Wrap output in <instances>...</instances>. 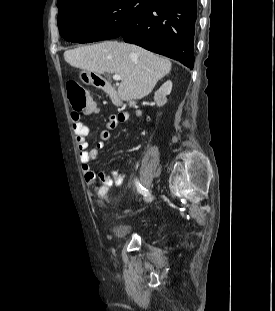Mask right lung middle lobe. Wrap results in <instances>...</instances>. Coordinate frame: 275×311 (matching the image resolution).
<instances>
[{
	"label": "right lung middle lobe",
	"instance_id": "obj_1",
	"mask_svg": "<svg viewBox=\"0 0 275 311\" xmlns=\"http://www.w3.org/2000/svg\"><path fill=\"white\" fill-rule=\"evenodd\" d=\"M158 0H71L58 5L60 35L88 43L118 37L141 12Z\"/></svg>",
	"mask_w": 275,
	"mask_h": 311
}]
</instances>
